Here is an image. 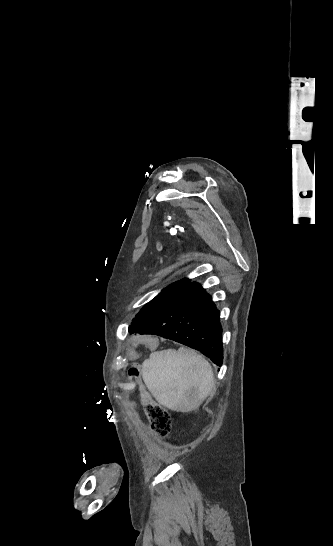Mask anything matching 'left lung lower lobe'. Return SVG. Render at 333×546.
Returning <instances> with one entry per match:
<instances>
[{
    "label": "left lung lower lobe",
    "mask_w": 333,
    "mask_h": 546,
    "mask_svg": "<svg viewBox=\"0 0 333 546\" xmlns=\"http://www.w3.org/2000/svg\"><path fill=\"white\" fill-rule=\"evenodd\" d=\"M129 331L174 340L199 350L218 366L223 363L220 312L198 283H191L177 299L159 309L141 328L133 320Z\"/></svg>",
    "instance_id": "1"
}]
</instances>
